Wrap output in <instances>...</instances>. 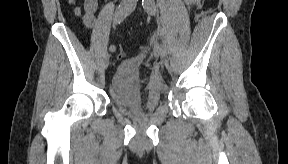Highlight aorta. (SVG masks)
Segmentation results:
<instances>
[{
  "instance_id": "1",
  "label": "aorta",
  "mask_w": 288,
  "mask_h": 164,
  "mask_svg": "<svg viewBox=\"0 0 288 164\" xmlns=\"http://www.w3.org/2000/svg\"><path fill=\"white\" fill-rule=\"evenodd\" d=\"M143 8H146V10H149V8H155V2L154 0H143Z\"/></svg>"
}]
</instances>
